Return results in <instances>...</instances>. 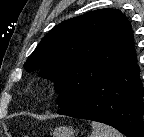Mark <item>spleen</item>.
Instances as JSON below:
<instances>
[{
	"mask_svg": "<svg viewBox=\"0 0 144 137\" xmlns=\"http://www.w3.org/2000/svg\"><path fill=\"white\" fill-rule=\"evenodd\" d=\"M91 137H123L116 129L99 122H92Z\"/></svg>",
	"mask_w": 144,
	"mask_h": 137,
	"instance_id": "3e777b00",
	"label": "spleen"
}]
</instances>
